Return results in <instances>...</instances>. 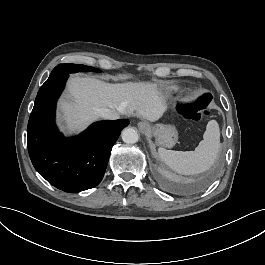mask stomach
Masks as SVG:
<instances>
[{
	"mask_svg": "<svg viewBox=\"0 0 265 265\" xmlns=\"http://www.w3.org/2000/svg\"><path fill=\"white\" fill-rule=\"evenodd\" d=\"M148 132L155 137L158 146L172 148L178 141V132L172 125L156 124Z\"/></svg>",
	"mask_w": 265,
	"mask_h": 265,
	"instance_id": "obj_1",
	"label": "stomach"
}]
</instances>
